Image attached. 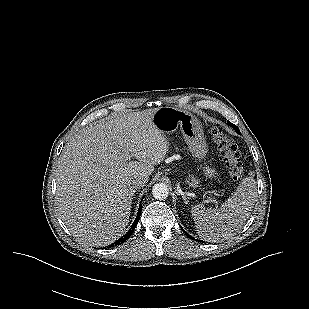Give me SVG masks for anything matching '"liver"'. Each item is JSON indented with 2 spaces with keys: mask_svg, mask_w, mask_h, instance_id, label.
<instances>
[{
  "mask_svg": "<svg viewBox=\"0 0 309 309\" xmlns=\"http://www.w3.org/2000/svg\"><path fill=\"white\" fill-rule=\"evenodd\" d=\"M155 110L129 113L81 130L64 147L56 169L59 216L80 241L106 246L126 229L132 179L149 176L168 142L152 123ZM138 161H130V158Z\"/></svg>",
  "mask_w": 309,
  "mask_h": 309,
  "instance_id": "obj_1",
  "label": "liver"
}]
</instances>
